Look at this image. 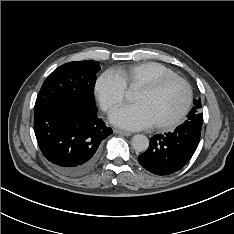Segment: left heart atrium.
<instances>
[{"label":"left heart atrium","mask_w":234,"mask_h":234,"mask_svg":"<svg viewBox=\"0 0 234 234\" xmlns=\"http://www.w3.org/2000/svg\"><path fill=\"white\" fill-rule=\"evenodd\" d=\"M110 120L113 124L130 130L143 129L152 125L147 112L138 104L115 109L110 114Z\"/></svg>","instance_id":"obj_1"}]
</instances>
